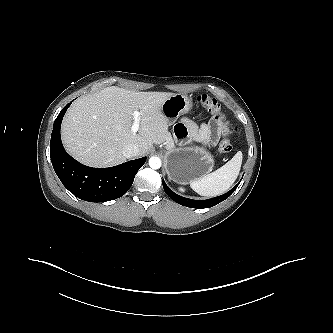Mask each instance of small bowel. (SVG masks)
Instances as JSON below:
<instances>
[{"mask_svg": "<svg viewBox=\"0 0 333 333\" xmlns=\"http://www.w3.org/2000/svg\"><path fill=\"white\" fill-rule=\"evenodd\" d=\"M222 118L214 116V118L201 127H197L191 120L184 119L182 127L190 138L197 142L213 145L223 132L224 124Z\"/></svg>", "mask_w": 333, "mask_h": 333, "instance_id": "small-bowel-1", "label": "small bowel"}]
</instances>
